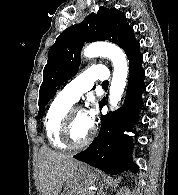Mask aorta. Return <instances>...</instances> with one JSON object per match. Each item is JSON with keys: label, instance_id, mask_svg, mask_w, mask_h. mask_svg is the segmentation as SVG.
I'll return each mask as SVG.
<instances>
[{"label": "aorta", "instance_id": "aorta-1", "mask_svg": "<svg viewBox=\"0 0 178 195\" xmlns=\"http://www.w3.org/2000/svg\"><path fill=\"white\" fill-rule=\"evenodd\" d=\"M86 58L103 56L109 58L114 66L110 85L109 104L112 110L116 109L121 101L128 75V63L125 53L118 46L107 42H96L83 50Z\"/></svg>", "mask_w": 178, "mask_h": 195}]
</instances>
